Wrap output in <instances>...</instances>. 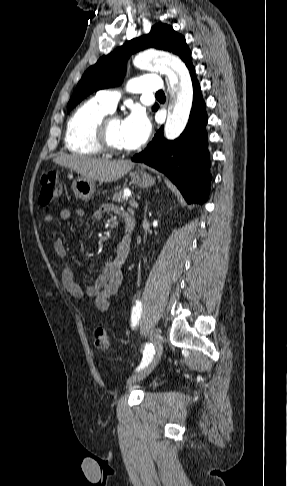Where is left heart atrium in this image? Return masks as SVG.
Listing matches in <instances>:
<instances>
[{
    "label": "left heart atrium",
    "instance_id": "39dd6f15",
    "mask_svg": "<svg viewBox=\"0 0 287 486\" xmlns=\"http://www.w3.org/2000/svg\"><path fill=\"white\" fill-rule=\"evenodd\" d=\"M122 129L126 148L134 149L148 139L151 124L144 113L141 111H133L128 117L122 120Z\"/></svg>",
    "mask_w": 287,
    "mask_h": 486
}]
</instances>
